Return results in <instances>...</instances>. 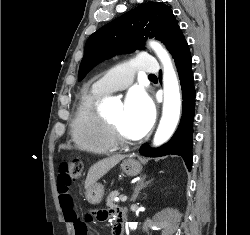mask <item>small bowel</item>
Masks as SVG:
<instances>
[{
  "label": "small bowel",
  "instance_id": "1",
  "mask_svg": "<svg viewBox=\"0 0 250 235\" xmlns=\"http://www.w3.org/2000/svg\"><path fill=\"white\" fill-rule=\"evenodd\" d=\"M58 196L59 202L62 210V215L66 222H70L75 227V222L77 221L73 200L70 194V190H64L58 185ZM120 212L119 209H108L98 212V218L96 221H106V220H116L117 214Z\"/></svg>",
  "mask_w": 250,
  "mask_h": 235
}]
</instances>
